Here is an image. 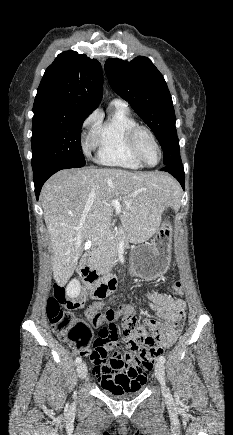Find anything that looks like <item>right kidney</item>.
I'll return each instance as SVG.
<instances>
[{
  "mask_svg": "<svg viewBox=\"0 0 233 435\" xmlns=\"http://www.w3.org/2000/svg\"><path fill=\"white\" fill-rule=\"evenodd\" d=\"M80 291H81V285L77 279H72L65 289L66 296L71 299L78 297Z\"/></svg>",
  "mask_w": 233,
  "mask_h": 435,
  "instance_id": "right-kidney-1",
  "label": "right kidney"
}]
</instances>
